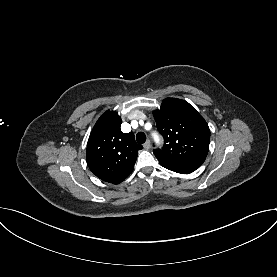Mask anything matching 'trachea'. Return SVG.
Masks as SVG:
<instances>
[{"mask_svg": "<svg viewBox=\"0 0 277 277\" xmlns=\"http://www.w3.org/2000/svg\"><path fill=\"white\" fill-rule=\"evenodd\" d=\"M136 140L139 144H143L146 141V135L143 132H139L136 135Z\"/></svg>", "mask_w": 277, "mask_h": 277, "instance_id": "3493384b", "label": "trachea"}]
</instances>
